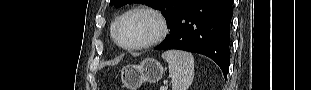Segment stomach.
I'll return each instance as SVG.
<instances>
[{
  "label": "stomach",
  "instance_id": "obj_1",
  "mask_svg": "<svg viewBox=\"0 0 311 90\" xmlns=\"http://www.w3.org/2000/svg\"><path fill=\"white\" fill-rule=\"evenodd\" d=\"M162 65L152 58H147L140 65H127L121 71V80L129 90H137L144 82L155 83L163 76Z\"/></svg>",
  "mask_w": 311,
  "mask_h": 90
}]
</instances>
